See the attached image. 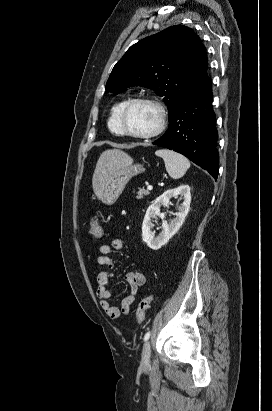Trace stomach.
I'll return each instance as SVG.
<instances>
[{
  "label": "stomach",
  "instance_id": "obj_1",
  "mask_svg": "<svg viewBox=\"0 0 272 411\" xmlns=\"http://www.w3.org/2000/svg\"><path fill=\"white\" fill-rule=\"evenodd\" d=\"M141 164H133L132 161L113 172L104 184L100 199L106 205L114 204L122 194L126 184L139 173L144 172Z\"/></svg>",
  "mask_w": 272,
  "mask_h": 411
}]
</instances>
